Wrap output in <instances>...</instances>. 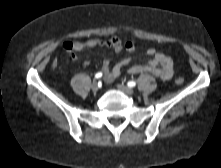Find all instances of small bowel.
<instances>
[{
	"label": "small bowel",
	"instance_id": "obj_1",
	"mask_svg": "<svg viewBox=\"0 0 221 168\" xmlns=\"http://www.w3.org/2000/svg\"><path fill=\"white\" fill-rule=\"evenodd\" d=\"M98 45H106L111 47L116 53H120L123 50L127 51L128 53H135L137 51V47L133 42L127 41L126 43L122 44L117 37H112L105 42L97 39H90L85 42L68 41L64 43L63 47L67 52L70 53L72 59H76V52L82 51L85 48H93ZM145 54L151 57L150 61L146 64H136L130 66L129 73H151L163 81H168L172 78L174 73V62L171 57L165 53L157 51L154 48L146 50ZM131 61L132 57H126L112 66L111 61L105 59L102 63V72L105 81L112 82L114 79L119 77L122 69L129 65ZM84 64L88 65L89 62L86 60L84 61Z\"/></svg>",
	"mask_w": 221,
	"mask_h": 168
}]
</instances>
